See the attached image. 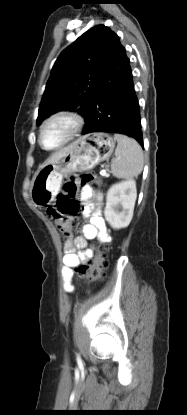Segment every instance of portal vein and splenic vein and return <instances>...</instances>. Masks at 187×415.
<instances>
[{"label": "portal vein and splenic vein", "instance_id": "portal-vein-and-splenic-vein-1", "mask_svg": "<svg viewBox=\"0 0 187 415\" xmlns=\"http://www.w3.org/2000/svg\"><path fill=\"white\" fill-rule=\"evenodd\" d=\"M102 175H103V176H106V177H108V174H106L105 172H104V173H102Z\"/></svg>", "mask_w": 187, "mask_h": 415}]
</instances>
